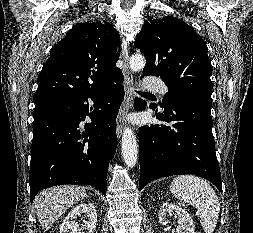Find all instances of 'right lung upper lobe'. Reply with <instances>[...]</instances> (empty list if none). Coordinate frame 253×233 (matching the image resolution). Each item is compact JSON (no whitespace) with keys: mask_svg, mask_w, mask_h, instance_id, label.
<instances>
[{"mask_svg":"<svg viewBox=\"0 0 253 233\" xmlns=\"http://www.w3.org/2000/svg\"><path fill=\"white\" fill-rule=\"evenodd\" d=\"M119 33L106 21L78 23L53 46L37 79L35 103L100 89L121 75Z\"/></svg>","mask_w":253,"mask_h":233,"instance_id":"cb5924a9","label":"right lung upper lobe"}]
</instances>
